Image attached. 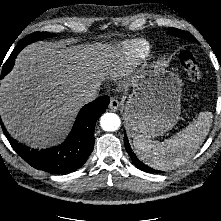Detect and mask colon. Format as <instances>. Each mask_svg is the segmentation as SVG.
<instances>
[{"label": "colon", "instance_id": "colon-1", "mask_svg": "<svg viewBox=\"0 0 221 221\" xmlns=\"http://www.w3.org/2000/svg\"><path fill=\"white\" fill-rule=\"evenodd\" d=\"M179 60L188 78L194 83L199 82L203 73L198 58L190 51H183L180 54Z\"/></svg>", "mask_w": 221, "mask_h": 221}]
</instances>
